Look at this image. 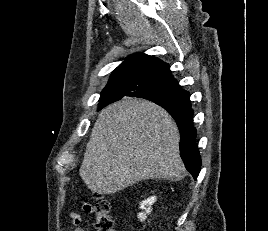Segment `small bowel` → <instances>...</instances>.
I'll use <instances>...</instances> for the list:
<instances>
[{
    "mask_svg": "<svg viewBox=\"0 0 268 231\" xmlns=\"http://www.w3.org/2000/svg\"><path fill=\"white\" fill-rule=\"evenodd\" d=\"M83 210L86 212H89L91 207L88 205H84ZM68 222L73 226L74 231H84L81 227H80V223H81V218L80 216L75 213V212H71L69 214V218H68Z\"/></svg>",
    "mask_w": 268,
    "mask_h": 231,
    "instance_id": "1",
    "label": "small bowel"
}]
</instances>
